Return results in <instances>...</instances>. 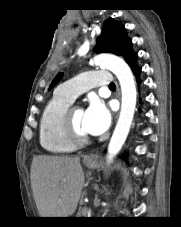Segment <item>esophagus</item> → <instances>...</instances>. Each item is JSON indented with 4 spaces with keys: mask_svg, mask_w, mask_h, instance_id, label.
<instances>
[{
    "mask_svg": "<svg viewBox=\"0 0 181 227\" xmlns=\"http://www.w3.org/2000/svg\"><path fill=\"white\" fill-rule=\"evenodd\" d=\"M86 160H87V161H89V160H90V158H86Z\"/></svg>",
    "mask_w": 181,
    "mask_h": 227,
    "instance_id": "esophagus-1",
    "label": "esophagus"
}]
</instances>
